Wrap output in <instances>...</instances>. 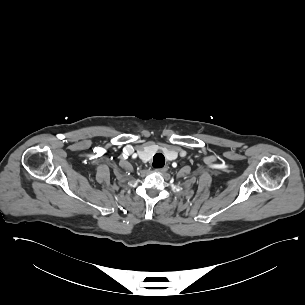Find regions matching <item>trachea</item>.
Wrapping results in <instances>:
<instances>
[{"mask_svg":"<svg viewBox=\"0 0 305 305\" xmlns=\"http://www.w3.org/2000/svg\"><path fill=\"white\" fill-rule=\"evenodd\" d=\"M165 164V157L161 153H157L153 157V163L152 166L154 168H162Z\"/></svg>","mask_w":305,"mask_h":305,"instance_id":"obj_1","label":"trachea"}]
</instances>
